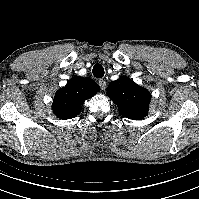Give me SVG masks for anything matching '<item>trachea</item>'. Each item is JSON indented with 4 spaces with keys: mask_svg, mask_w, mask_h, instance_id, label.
Segmentation results:
<instances>
[{
    "mask_svg": "<svg viewBox=\"0 0 199 199\" xmlns=\"http://www.w3.org/2000/svg\"><path fill=\"white\" fill-rule=\"evenodd\" d=\"M92 72L96 78H102L104 76V68L100 64L94 65Z\"/></svg>",
    "mask_w": 199,
    "mask_h": 199,
    "instance_id": "obj_1",
    "label": "trachea"
}]
</instances>
